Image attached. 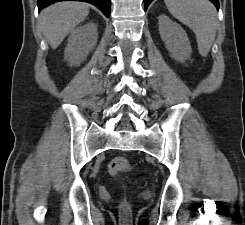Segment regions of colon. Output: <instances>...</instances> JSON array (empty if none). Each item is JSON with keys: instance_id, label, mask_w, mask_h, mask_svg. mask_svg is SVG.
<instances>
[{"instance_id": "obj_1", "label": "colon", "mask_w": 245, "mask_h": 225, "mask_svg": "<svg viewBox=\"0 0 245 225\" xmlns=\"http://www.w3.org/2000/svg\"><path fill=\"white\" fill-rule=\"evenodd\" d=\"M131 165L126 157L118 156L113 158L108 164L109 174L113 178H119L120 175L130 171ZM120 212L123 216L124 221H130L131 205L128 200L124 199L120 203Z\"/></svg>"}]
</instances>
